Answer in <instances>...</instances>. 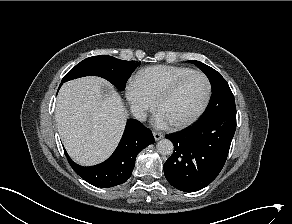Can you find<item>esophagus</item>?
Returning a JSON list of instances; mask_svg holds the SVG:
<instances>
[{
	"mask_svg": "<svg viewBox=\"0 0 292 224\" xmlns=\"http://www.w3.org/2000/svg\"><path fill=\"white\" fill-rule=\"evenodd\" d=\"M153 137H154L155 141H158V140L163 138V134H161L159 132H153Z\"/></svg>",
	"mask_w": 292,
	"mask_h": 224,
	"instance_id": "esophagus-1",
	"label": "esophagus"
}]
</instances>
